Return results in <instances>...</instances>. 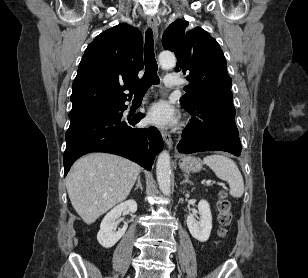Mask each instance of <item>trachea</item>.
Wrapping results in <instances>:
<instances>
[{
	"mask_svg": "<svg viewBox=\"0 0 308 278\" xmlns=\"http://www.w3.org/2000/svg\"><path fill=\"white\" fill-rule=\"evenodd\" d=\"M144 61V76L137 83L129 87V90L134 95L145 93L152 84H159V77L157 75L158 65L154 54L153 32L150 28L146 30Z\"/></svg>",
	"mask_w": 308,
	"mask_h": 278,
	"instance_id": "trachea-1",
	"label": "trachea"
}]
</instances>
